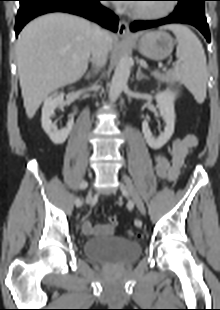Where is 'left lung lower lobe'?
Wrapping results in <instances>:
<instances>
[{"label": "left lung lower lobe", "mask_w": 220, "mask_h": 310, "mask_svg": "<svg viewBox=\"0 0 220 310\" xmlns=\"http://www.w3.org/2000/svg\"><path fill=\"white\" fill-rule=\"evenodd\" d=\"M174 23L193 25L205 36L206 40L210 42L209 27L206 22L204 11L195 8H181L178 5L174 12L164 19L155 21H134L131 25V30H144Z\"/></svg>", "instance_id": "left-lung-lower-lobe-1"}]
</instances>
